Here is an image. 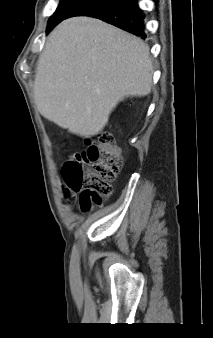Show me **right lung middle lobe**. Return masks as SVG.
<instances>
[{"label": "right lung middle lobe", "instance_id": "obj_1", "mask_svg": "<svg viewBox=\"0 0 213 338\" xmlns=\"http://www.w3.org/2000/svg\"><path fill=\"white\" fill-rule=\"evenodd\" d=\"M93 0H61L58 5L55 13L51 16L48 27L47 34L61 21L67 19V17L74 12L77 8L81 7L84 4H87Z\"/></svg>", "mask_w": 213, "mask_h": 338}]
</instances>
